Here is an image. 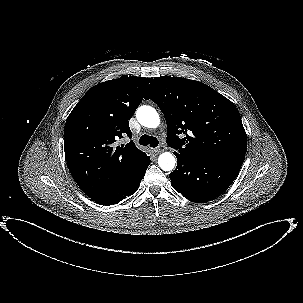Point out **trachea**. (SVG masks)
I'll return each instance as SVG.
<instances>
[{
	"mask_svg": "<svg viewBox=\"0 0 303 303\" xmlns=\"http://www.w3.org/2000/svg\"><path fill=\"white\" fill-rule=\"evenodd\" d=\"M140 145L147 146L150 145L151 147L155 148L158 146L157 138L153 136L143 135L139 140Z\"/></svg>",
	"mask_w": 303,
	"mask_h": 303,
	"instance_id": "1",
	"label": "trachea"
}]
</instances>
